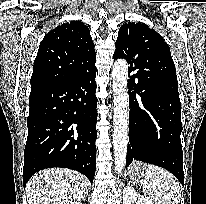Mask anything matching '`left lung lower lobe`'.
<instances>
[{
	"instance_id": "0a47b994",
	"label": "left lung lower lobe",
	"mask_w": 206,
	"mask_h": 204,
	"mask_svg": "<svg viewBox=\"0 0 206 204\" xmlns=\"http://www.w3.org/2000/svg\"><path fill=\"white\" fill-rule=\"evenodd\" d=\"M129 143L126 167L133 160L154 164L174 174L184 184L181 103L178 83L168 76L147 83L149 69L134 66L128 73Z\"/></svg>"
}]
</instances>
